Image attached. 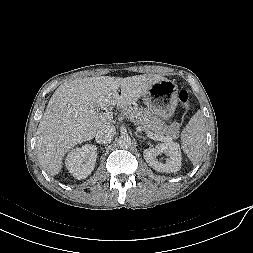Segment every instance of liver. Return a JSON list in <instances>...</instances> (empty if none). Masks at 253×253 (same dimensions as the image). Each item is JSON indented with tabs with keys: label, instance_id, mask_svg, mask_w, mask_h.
Segmentation results:
<instances>
[{
	"label": "liver",
	"instance_id": "6515ba94",
	"mask_svg": "<svg viewBox=\"0 0 253 253\" xmlns=\"http://www.w3.org/2000/svg\"><path fill=\"white\" fill-rule=\"evenodd\" d=\"M164 79L160 75L144 74L64 82L52 95L36 132L38 157L43 169L51 176L58 174L67 151L78 143L91 140L100 127L110 124L99 119L95 107H129L154 83Z\"/></svg>",
	"mask_w": 253,
	"mask_h": 253
}]
</instances>
